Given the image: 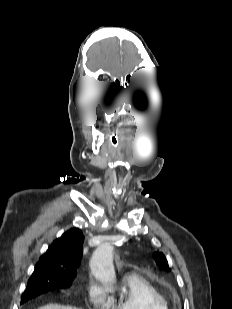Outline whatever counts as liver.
Returning a JSON list of instances; mask_svg holds the SVG:
<instances>
[{
  "instance_id": "liver-1",
  "label": "liver",
  "mask_w": 232,
  "mask_h": 309,
  "mask_svg": "<svg viewBox=\"0 0 232 309\" xmlns=\"http://www.w3.org/2000/svg\"><path fill=\"white\" fill-rule=\"evenodd\" d=\"M38 309H78V308H73L71 306H62V305H58V304H48V305L42 306Z\"/></svg>"
}]
</instances>
